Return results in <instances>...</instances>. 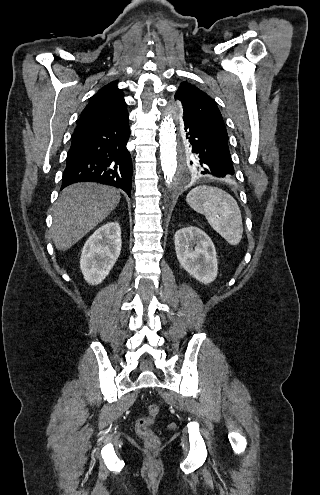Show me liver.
<instances>
[{"mask_svg":"<svg viewBox=\"0 0 320 495\" xmlns=\"http://www.w3.org/2000/svg\"><path fill=\"white\" fill-rule=\"evenodd\" d=\"M120 191L97 183H75L62 190L53 211L52 239L65 251L103 221L119 204Z\"/></svg>","mask_w":320,"mask_h":495,"instance_id":"obj_1","label":"liver"}]
</instances>
